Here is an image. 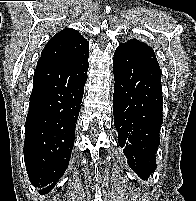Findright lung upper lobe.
I'll return each mask as SVG.
<instances>
[{
	"instance_id": "obj_1",
	"label": "right lung upper lobe",
	"mask_w": 196,
	"mask_h": 201,
	"mask_svg": "<svg viewBox=\"0 0 196 201\" xmlns=\"http://www.w3.org/2000/svg\"><path fill=\"white\" fill-rule=\"evenodd\" d=\"M89 45L76 30L67 28L58 32L45 45L37 68L55 65H79L88 61ZM36 68V69H37Z\"/></svg>"
}]
</instances>
